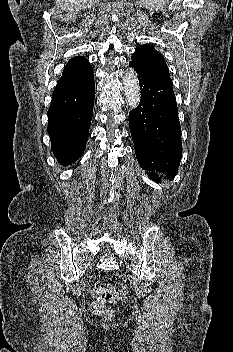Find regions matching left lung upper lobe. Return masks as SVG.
<instances>
[{
  "label": "left lung upper lobe",
  "instance_id": "5c2ea615",
  "mask_svg": "<svg viewBox=\"0 0 233 352\" xmlns=\"http://www.w3.org/2000/svg\"><path fill=\"white\" fill-rule=\"evenodd\" d=\"M131 60L145 72L172 83L164 57L159 51L155 50L153 45L138 46Z\"/></svg>",
  "mask_w": 233,
  "mask_h": 352
}]
</instances>
